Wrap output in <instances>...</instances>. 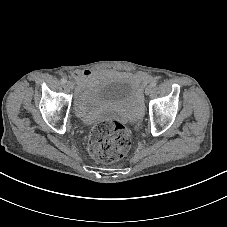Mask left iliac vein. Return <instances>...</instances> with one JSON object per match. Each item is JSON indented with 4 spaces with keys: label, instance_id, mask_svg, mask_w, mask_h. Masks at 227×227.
<instances>
[{
    "label": "left iliac vein",
    "instance_id": "left-iliac-vein-1",
    "mask_svg": "<svg viewBox=\"0 0 227 227\" xmlns=\"http://www.w3.org/2000/svg\"><path fill=\"white\" fill-rule=\"evenodd\" d=\"M153 90V87L152 86H147V88L145 89V93L147 95H149L151 93V91Z\"/></svg>",
    "mask_w": 227,
    "mask_h": 227
}]
</instances>
